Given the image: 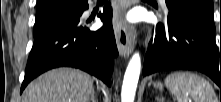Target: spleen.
I'll use <instances>...</instances> for the list:
<instances>
[{
	"instance_id": "3e777b00",
	"label": "spleen",
	"mask_w": 221,
	"mask_h": 102,
	"mask_svg": "<svg viewBox=\"0 0 221 102\" xmlns=\"http://www.w3.org/2000/svg\"><path fill=\"white\" fill-rule=\"evenodd\" d=\"M165 86L177 102H218L211 84L192 72H173L165 79Z\"/></svg>"
}]
</instances>
